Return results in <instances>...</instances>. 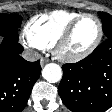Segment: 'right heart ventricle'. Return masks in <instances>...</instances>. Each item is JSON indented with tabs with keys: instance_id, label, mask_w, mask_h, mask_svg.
<instances>
[{
	"instance_id": "1",
	"label": "right heart ventricle",
	"mask_w": 112,
	"mask_h": 112,
	"mask_svg": "<svg viewBox=\"0 0 112 112\" xmlns=\"http://www.w3.org/2000/svg\"><path fill=\"white\" fill-rule=\"evenodd\" d=\"M81 13L69 10H54L33 17L27 24L28 33L45 48L53 46L66 26Z\"/></svg>"
}]
</instances>
